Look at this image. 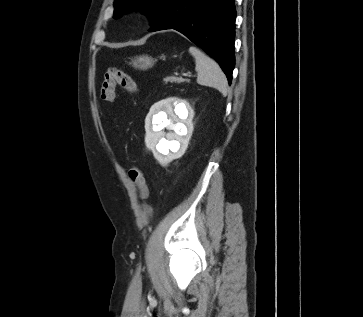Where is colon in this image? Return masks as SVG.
<instances>
[{"instance_id":"1","label":"colon","mask_w":363,"mask_h":317,"mask_svg":"<svg viewBox=\"0 0 363 317\" xmlns=\"http://www.w3.org/2000/svg\"><path fill=\"white\" fill-rule=\"evenodd\" d=\"M117 85L130 93L136 91V84L129 74L117 68H110L105 73L101 84V99L107 102H112L115 97V87ZM129 178L139 190V196L142 200L141 221L145 223L152 215V208L147 202L149 191L142 169L138 166H132L129 169Z\"/></svg>"}]
</instances>
